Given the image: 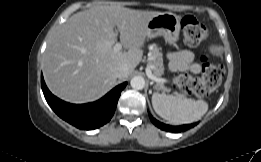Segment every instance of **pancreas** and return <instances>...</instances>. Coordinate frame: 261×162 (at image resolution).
<instances>
[{
  "label": "pancreas",
  "mask_w": 261,
  "mask_h": 162,
  "mask_svg": "<svg viewBox=\"0 0 261 162\" xmlns=\"http://www.w3.org/2000/svg\"><path fill=\"white\" fill-rule=\"evenodd\" d=\"M149 49L151 51L149 66L153 70V75L159 78L164 71L163 55L156 44L150 45ZM154 88L158 91H167L164 82H156Z\"/></svg>",
  "instance_id": "cf45deb5"
}]
</instances>
